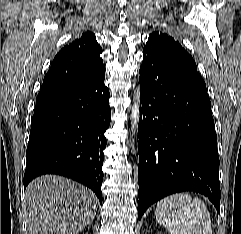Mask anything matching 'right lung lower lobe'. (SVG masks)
Here are the masks:
<instances>
[{
  "label": "right lung lower lobe",
  "instance_id": "1",
  "mask_svg": "<svg viewBox=\"0 0 241 234\" xmlns=\"http://www.w3.org/2000/svg\"><path fill=\"white\" fill-rule=\"evenodd\" d=\"M105 67L79 82L39 92L32 117L24 188L58 174L92 189L102 203L104 132L110 125Z\"/></svg>",
  "mask_w": 241,
  "mask_h": 234
}]
</instances>
